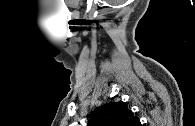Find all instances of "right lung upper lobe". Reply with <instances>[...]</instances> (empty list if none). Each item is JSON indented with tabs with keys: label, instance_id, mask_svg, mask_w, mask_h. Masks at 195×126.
<instances>
[{
	"label": "right lung upper lobe",
	"instance_id": "1",
	"mask_svg": "<svg viewBox=\"0 0 195 126\" xmlns=\"http://www.w3.org/2000/svg\"><path fill=\"white\" fill-rule=\"evenodd\" d=\"M87 126H141L125 102H109L97 107Z\"/></svg>",
	"mask_w": 195,
	"mask_h": 126
}]
</instances>
